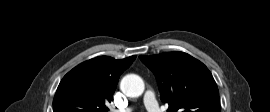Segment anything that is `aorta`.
<instances>
[{"label":"aorta","mask_w":270,"mask_h":112,"mask_svg":"<svg viewBox=\"0 0 270 112\" xmlns=\"http://www.w3.org/2000/svg\"><path fill=\"white\" fill-rule=\"evenodd\" d=\"M120 89L126 96L135 98L143 94L145 85L140 76L128 74L121 80Z\"/></svg>","instance_id":"762f6f07"}]
</instances>
